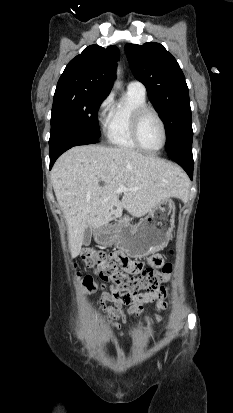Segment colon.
Wrapping results in <instances>:
<instances>
[{
  "mask_svg": "<svg viewBox=\"0 0 233 413\" xmlns=\"http://www.w3.org/2000/svg\"><path fill=\"white\" fill-rule=\"evenodd\" d=\"M84 264L103 281L111 282L123 293H138L145 290L156 291L166 282L172 272V265L161 261L158 265L144 267L139 270L137 276H127L120 271L116 265L112 254L104 250L85 249L81 254ZM82 278V283L88 291L95 289L94 279L91 275L78 274Z\"/></svg>",
  "mask_w": 233,
  "mask_h": 413,
  "instance_id": "5ec220e1",
  "label": "colon"
}]
</instances>
